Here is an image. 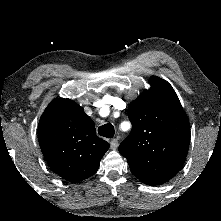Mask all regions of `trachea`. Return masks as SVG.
<instances>
[{
	"label": "trachea",
	"instance_id": "1",
	"mask_svg": "<svg viewBox=\"0 0 221 221\" xmlns=\"http://www.w3.org/2000/svg\"><path fill=\"white\" fill-rule=\"evenodd\" d=\"M98 133L100 136L106 138H112L115 134V130L112 124H104L98 128Z\"/></svg>",
	"mask_w": 221,
	"mask_h": 221
}]
</instances>
